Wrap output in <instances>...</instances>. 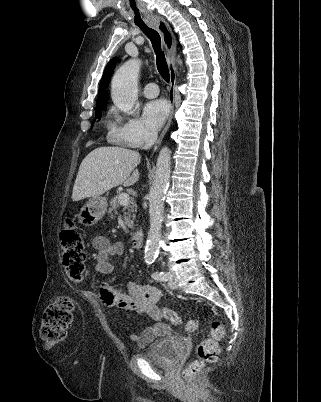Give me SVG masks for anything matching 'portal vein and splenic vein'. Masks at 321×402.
I'll return each mask as SVG.
<instances>
[{
  "mask_svg": "<svg viewBox=\"0 0 321 402\" xmlns=\"http://www.w3.org/2000/svg\"><path fill=\"white\" fill-rule=\"evenodd\" d=\"M129 201H130V198H129V195L127 193H121L120 194V196H119L120 205L125 206V205H127L129 203Z\"/></svg>",
  "mask_w": 321,
  "mask_h": 402,
  "instance_id": "18ae733b",
  "label": "portal vein and splenic vein"
}]
</instances>
